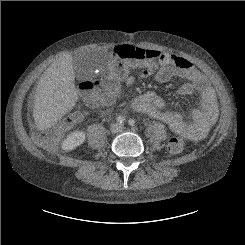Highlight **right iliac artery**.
<instances>
[{
    "label": "right iliac artery",
    "instance_id": "82829eb1",
    "mask_svg": "<svg viewBox=\"0 0 245 245\" xmlns=\"http://www.w3.org/2000/svg\"><path fill=\"white\" fill-rule=\"evenodd\" d=\"M125 117H123V116H119L118 118H117V122L119 123V124H122V123H124L125 122Z\"/></svg>",
    "mask_w": 245,
    "mask_h": 245
}]
</instances>
